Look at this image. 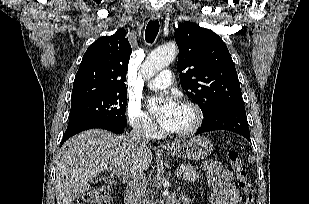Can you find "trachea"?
Returning a JSON list of instances; mask_svg holds the SVG:
<instances>
[{"mask_svg": "<svg viewBox=\"0 0 309 204\" xmlns=\"http://www.w3.org/2000/svg\"><path fill=\"white\" fill-rule=\"evenodd\" d=\"M158 32H159V21L158 20L149 21L145 30V40L148 43H153Z\"/></svg>", "mask_w": 309, "mask_h": 204, "instance_id": "1", "label": "trachea"}]
</instances>
